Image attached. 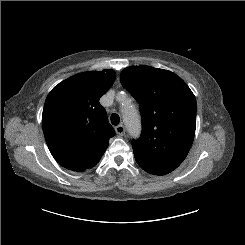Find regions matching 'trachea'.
<instances>
[{"label": "trachea", "mask_w": 245, "mask_h": 245, "mask_svg": "<svg viewBox=\"0 0 245 245\" xmlns=\"http://www.w3.org/2000/svg\"><path fill=\"white\" fill-rule=\"evenodd\" d=\"M119 122H120V117H119V115L118 114H116V113H113L112 115H111V123L113 124V125H118L119 124Z\"/></svg>", "instance_id": "1"}]
</instances>
